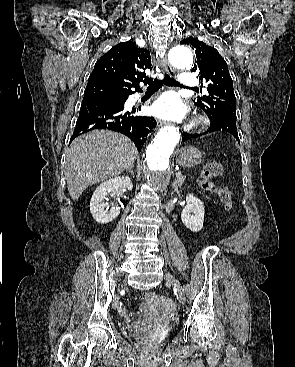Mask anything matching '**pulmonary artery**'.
I'll use <instances>...</instances> for the list:
<instances>
[{"mask_svg":"<svg viewBox=\"0 0 295 367\" xmlns=\"http://www.w3.org/2000/svg\"><path fill=\"white\" fill-rule=\"evenodd\" d=\"M180 82L183 86L188 88H195L199 85L198 79L189 72H184L181 74Z\"/></svg>","mask_w":295,"mask_h":367,"instance_id":"e3ab8cb5","label":"pulmonary artery"}]
</instances>
